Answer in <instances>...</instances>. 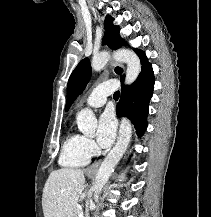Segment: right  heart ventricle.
I'll return each mask as SVG.
<instances>
[{"mask_svg":"<svg viewBox=\"0 0 211 217\" xmlns=\"http://www.w3.org/2000/svg\"><path fill=\"white\" fill-rule=\"evenodd\" d=\"M90 160L84 146V136L70 133L62 146L59 162L64 167H82Z\"/></svg>","mask_w":211,"mask_h":217,"instance_id":"right-heart-ventricle-1","label":"right heart ventricle"}]
</instances>
